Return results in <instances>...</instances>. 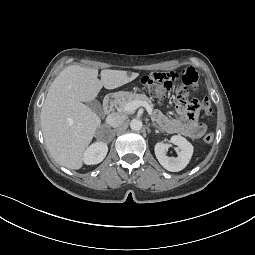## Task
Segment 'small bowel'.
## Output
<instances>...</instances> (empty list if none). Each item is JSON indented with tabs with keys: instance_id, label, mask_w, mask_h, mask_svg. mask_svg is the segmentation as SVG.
Instances as JSON below:
<instances>
[{
	"instance_id": "1",
	"label": "small bowel",
	"mask_w": 255,
	"mask_h": 255,
	"mask_svg": "<svg viewBox=\"0 0 255 255\" xmlns=\"http://www.w3.org/2000/svg\"><path fill=\"white\" fill-rule=\"evenodd\" d=\"M178 118L171 119L167 116L156 112L155 117L162 127L169 133H177L192 139L202 137L206 128L197 120V114L187 111L184 107L179 106L177 110Z\"/></svg>"
}]
</instances>
